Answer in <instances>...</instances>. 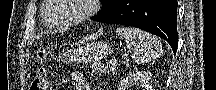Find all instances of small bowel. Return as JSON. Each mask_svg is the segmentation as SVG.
Here are the masks:
<instances>
[{"instance_id": "small-bowel-1", "label": "small bowel", "mask_w": 216, "mask_h": 90, "mask_svg": "<svg viewBox=\"0 0 216 90\" xmlns=\"http://www.w3.org/2000/svg\"><path fill=\"white\" fill-rule=\"evenodd\" d=\"M74 90H91L84 75L80 72H73L70 76Z\"/></svg>"}]
</instances>
